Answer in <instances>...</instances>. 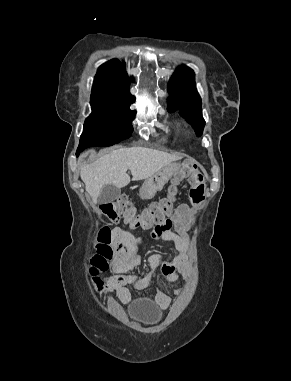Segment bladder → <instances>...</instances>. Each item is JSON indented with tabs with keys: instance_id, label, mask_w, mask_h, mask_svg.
<instances>
[{
	"instance_id": "bladder-1",
	"label": "bladder",
	"mask_w": 291,
	"mask_h": 381,
	"mask_svg": "<svg viewBox=\"0 0 291 381\" xmlns=\"http://www.w3.org/2000/svg\"><path fill=\"white\" fill-rule=\"evenodd\" d=\"M128 315L140 324H151L160 318L161 312L153 309L149 301L140 299L129 303Z\"/></svg>"
}]
</instances>
